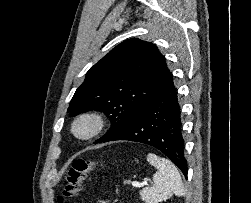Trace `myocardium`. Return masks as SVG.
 Segmentation results:
<instances>
[{
  "label": "myocardium",
  "mask_w": 251,
  "mask_h": 203,
  "mask_svg": "<svg viewBox=\"0 0 251 203\" xmlns=\"http://www.w3.org/2000/svg\"><path fill=\"white\" fill-rule=\"evenodd\" d=\"M86 124L88 127L84 132L79 127ZM107 125V117L100 111H86L77 115L71 124L72 134L79 140H90L98 136Z\"/></svg>",
  "instance_id": "f54148a6"
}]
</instances>
